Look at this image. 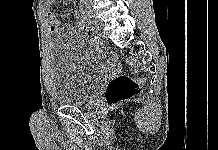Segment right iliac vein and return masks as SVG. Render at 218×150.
I'll list each match as a JSON object with an SVG mask.
<instances>
[{"label": "right iliac vein", "mask_w": 218, "mask_h": 150, "mask_svg": "<svg viewBox=\"0 0 218 150\" xmlns=\"http://www.w3.org/2000/svg\"><path fill=\"white\" fill-rule=\"evenodd\" d=\"M85 15L91 18L97 30H102V22L94 15L93 11L89 7H84Z\"/></svg>", "instance_id": "obj_1"}]
</instances>
